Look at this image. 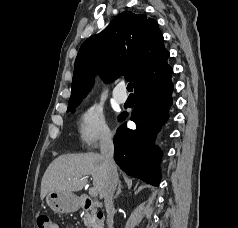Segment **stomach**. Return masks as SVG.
<instances>
[{
	"label": "stomach",
	"instance_id": "stomach-1",
	"mask_svg": "<svg viewBox=\"0 0 238 228\" xmlns=\"http://www.w3.org/2000/svg\"><path fill=\"white\" fill-rule=\"evenodd\" d=\"M47 205L56 212L70 213L79 208L80 202L73 192L52 191L46 196Z\"/></svg>",
	"mask_w": 238,
	"mask_h": 228
}]
</instances>
